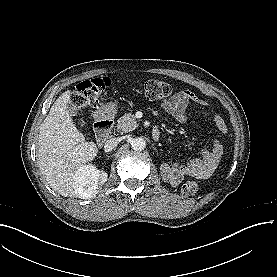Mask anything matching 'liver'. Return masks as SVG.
<instances>
[{"label":"liver","mask_w":277,"mask_h":277,"mask_svg":"<svg viewBox=\"0 0 277 277\" xmlns=\"http://www.w3.org/2000/svg\"><path fill=\"white\" fill-rule=\"evenodd\" d=\"M71 91H65L52 105L40 126L38 162L50 187L60 195L81 197L74 182L76 171L94 160L96 144L85 141L69 114Z\"/></svg>","instance_id":"liver-1"}]
</instances>
